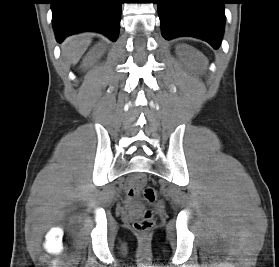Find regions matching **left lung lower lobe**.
<instances>
[{
    "label": "left lung lower lobe",
    "instance_id": "left-lung-lower-lobe-1",
    "mask_svg": "<svg viewBox=\"0 0 279 267\" xmlns=\"http://www.w3.org/2000/svg\"><path fill=\"white\" fill-rule=\"evenodd\" d=\"M162 35L203 39L217 49L222 41L226 0H157Z\"/></svg>",
    "mask_w": 279,
    "mask_h": 267
}]
</instances>
